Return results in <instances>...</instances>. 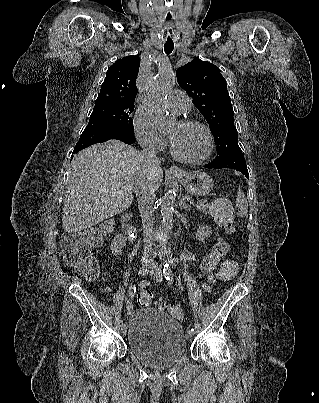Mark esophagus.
<instances>
[{
	"instance_id": "esophagus-1",
	"label": "esophagus",
	"mask_w": 319,
	"mask_h": 403,
	"mask_svg": "<svg viewBox=\"0 0 319 403\" xmlns=\"http://www.w3.org/2000/svg\"><path fill=\"white\" fill-rule=\"evenodd\" d=\"M168 171H169L170 173H174V174L180 173V169H179L178 167H176V166H171V167L168 169Z\"/></svg>"
}]
</instances>
